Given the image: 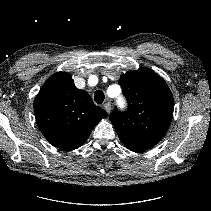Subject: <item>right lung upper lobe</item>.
Listing matches in <instances>:
<instances>
[{"label":"right lung upper lobe","mask_w":211,"mask_h":211,"mask_svg":"<svg viewBox=\"0 0 211 211\" xmlns=\"http://www.w3.org/2000/svg\"><path fill=\"white\" fill-rule=\"evenodd\" d=\"M34 112L44 137L66 151L79 148L98 122L108 117L87 92L76 88L67 72H57L46 81L34 100Z\"/></svg>","instance_id":"1"}]
</instances>
